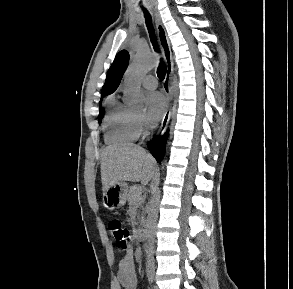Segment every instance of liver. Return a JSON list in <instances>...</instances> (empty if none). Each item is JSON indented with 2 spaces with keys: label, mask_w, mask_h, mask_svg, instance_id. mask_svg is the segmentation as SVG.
<instances>
[{
  "label": "liver",
  "mask_w": 293,
  "mask_h": 289,
  "mask_svg": "<svg viewBox=\"0 0 293 289\" xmlns=\"http://www.w3.org/2000/svg\"><path fill=\"white\" fill-rule=\"evenodd\" d=\"M154 158L140 146L117 144L107 146L101 154L102 189L121 181L147 185L155 174Z\"/></svg>",
  "instance_id": "obj_1"
}]
</instances>
